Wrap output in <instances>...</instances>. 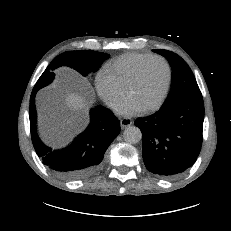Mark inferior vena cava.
I'll return each instance as SVG.
<instances>
[{"mask_svg":"<svg viewBox=\"0 0 231 231\" xmlns=\"http://www.w3.org/2000/svg\"><path fill=\"white\" fill-rule=\"evenodd\" d=\"M106 104L110 107H112L114 105V102L111 99H107L106 100Z\"/></svg>","mask_w":231,"mask_h":231,"instance_id":"obj_1","label":"inferior vena cava"}]
</instances>
